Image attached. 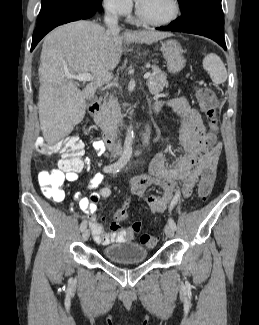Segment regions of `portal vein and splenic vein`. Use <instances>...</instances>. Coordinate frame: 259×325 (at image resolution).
Instances as JSON below:
<instances>
[{
  "label": "portal vein and splenic vein",
  "instance_id": "18ae733b",
  "mask_svg": "<svg viewBox=\"0 0 259 325\" xmlns=\"http://www.w3.org/2000/svg\"><path fill=\"white\" fill-rule=\"evenodd\" d=\"M151 76L150 72L145 73L144 75V79H148ZM68 79H74L77 81H92L94 79V76L91 75L90 73H82L79 75H68L67 76Z\"/></svg>",
  "mask_w": 259,
  "mask_h": 325
}]
</instances>
